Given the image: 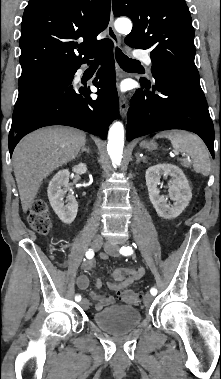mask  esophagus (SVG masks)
<instances>
[{"label":"esophagus","instance_id":"1","mask_svg":"<svg viewBox=\"0 0 221 379\" xmlns=\"http://www.w3.org/2000/svg\"><path fill=\"white\" fill-rule=\"evenodd\" d=\"M107 34H108V37L112 39L116 45H118L119 47L121 46L120 36L117 34V32L114 29V17H113L112 9H111V14H110L109 24L107 26ZM119 104H120V114L122 117H125L128 111L127 95L125 94L120 95Z\"/></svg>","mask_w":221,"mask_h":379}]
</instances>
